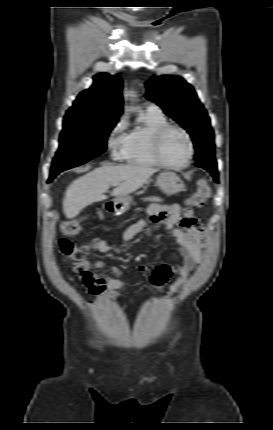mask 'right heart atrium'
I'll list each match as a JSON object with an SVG mask.
<instances>
[{
    "mask_svg": "<svg viewBox=\"0 0 273 430\" xmlns=\"http://www.w3.org/2000/svg\"><path fill=\"white\" fill-rule=\"evenodd\" d=\"M125 121L120 119L111 129L108 139L107 147L113 159L122 160L125 157L127 148V136L124 133Z\"/></svg>",
    "mask_w": 273,
    "mask_h": 430,
    "instance_id": "d8ad5b80",
    "label": "right heart atrium"
}]
</instances>
